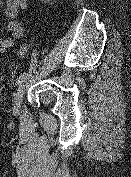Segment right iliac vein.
Returning a JSON list of instances; mask_svg holds the SVG:
<instances>
[{"label":"right iliac vein","mask_w":131,"mask_h":177,"mask_svg":"<svg viewBox=\"0 0 131 177\" xmlns=\"http://www.w3.org/2000/svg\"><path fill=\"white\" fill-rule=\"evenodd\" d=\"M26 89H27V82H24L20 85V87L18 88L17 92L14 95L13 110L15 112L19 111Z\"/></svg>","instance_id":"obj_1"}]
</instances>
